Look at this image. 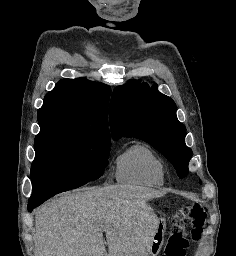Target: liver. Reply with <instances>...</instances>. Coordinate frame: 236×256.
Instances as JSON below:
<instances>
[{
    "instance_id": "1",
    "label": "liver",
    "mask_w": 236,
    "mask_h": 256,
    "mask_svg": "<svg viewBox=\"0 0 236 256\" xmlns=\"http://www.w3.org/2000/svg\"><path fill=\"white\" fill-rule=\"evenodd\" d=\"M157 196L162 192L140 186L61 194L36 212L35 246L41 256H147L141 222L147 200Z\"/></svg>"
}]
</instances>
